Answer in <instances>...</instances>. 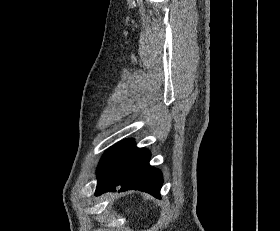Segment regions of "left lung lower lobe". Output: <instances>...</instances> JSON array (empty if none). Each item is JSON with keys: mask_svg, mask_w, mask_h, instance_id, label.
<instances>
[{"mask_svg": "<svg viewBox=\"0 0 280 231\" xmlns=\"http://www.w3.org/2000/svg\"><path fill=\"white\" fill-rule=\"evenodd\" d=\"M150 152L137 148L132 139H126L110 147L97 167L98 184L95 195L115 191L140 190L160 198L163 183L159 170L149 165Z\"/></svg>", "mask_w": 280, "mask_h": 231, "instance_id": "left-lung-lower-lobe-1", "label": "left lung lower lobe"}]
</instances>
